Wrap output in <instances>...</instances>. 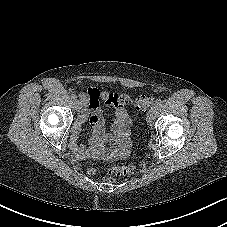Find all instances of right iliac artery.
Returning <instances> with one entry per match:
<instances>
[{
    "mask_svg": "<svg viewBox=\"0 0 227 227\" xmlns=\"http://www.w3.org/2000/svg\"><path fill=\"white\" fill-rule=\"evenodd\" d=\"M71 99H72L73 101H75V100H77V96H76L75 94H72V95H71Z\"/></svg>",
    "mask_w": 227,
    "mask_h": 227,
    "instance_id": "82829eb1",
    "label": "right iliac artery"
}]
</instances>
